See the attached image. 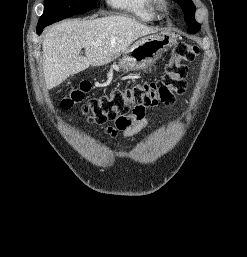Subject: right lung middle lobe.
<instances>
[{
  "instance_id": "right-lung-middle-lobe-1",
  "label": "right lung middle lobe",
  "mask_w": 247,
  "mask_h": 257,
  "mask_svg": "<svg viewBox=\"0 0 247 257\" xmlns=\"http://www.w3.org/2000/svg\"><path fill=\"white\" fill-rule=\"evenodd\" d=\"M96 0H45L44 12L38 25L52 24L94 8Z\"/></svg>"
}]
</instances>
